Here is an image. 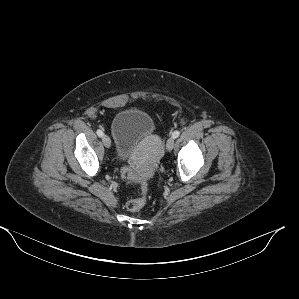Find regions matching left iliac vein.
Here are the masks:
<instances>
[{"label": "left iliac vein", "instance_id": "left-iliac-vein-1", "mask_svg": "<svg viewBox=\"0 0 299 299\" xmlns=\"http://www.w3.org/2000/svg\"><path fill=\"white\" fill-rule=\"evenodd\" d=\"M174 143H175V140L173 137H170L168 140H167V143H166V148L168 151H171L174 147Z\"/></svg>", "mask_w": 299, "mask_h": 299}]
</instances>
